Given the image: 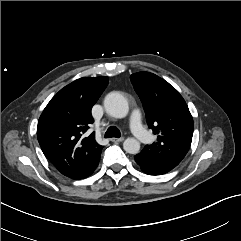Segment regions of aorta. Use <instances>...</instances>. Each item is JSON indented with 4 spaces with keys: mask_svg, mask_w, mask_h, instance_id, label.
I'll use <instances>...</instances> for the list:
<instances>
[{
    "mask_svg": "<svg viewBox=\"0 0 241 241\" xmlns=\"http://www.w3.org/2000/svg\"><path fill=\"white\" fill-rule=\"evenodd\" d=\"M106 112L115 118H124L129 112L126 98L118 92L109 93L104 99ZM124 150L129 154H137L140 143L135 138H127L123 143Z\"/></svg>",
    "mask_w": 241,
    "mask_h": 241,
    "instance_id": "1",
    "label": "aorta"
}]
</instances>
